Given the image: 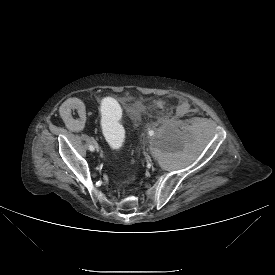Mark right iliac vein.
<instances>
[{
    "mask_svg": "<svg viewBox=\"0 0 275 275\" xmlns=\"http://www.w3.org/2000/svg\"><path fill=\"white\" fill-rule=\"evenodd\" d=\"M94 146H95L96 150H99V146L96 142H94Z\"/></svg>",
    "mask_w": 275,
    "mask_h": 275,
    "instance_id": "1",
    "label": "right iliac vein"
}]
</instances>
